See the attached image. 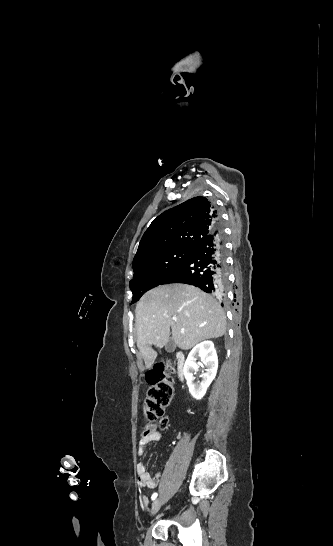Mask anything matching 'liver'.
<instances>
[{
	"label": "liver",
	"instance_id": "liver-1",
	"mask_svg": "<svg viewBox=\"0 0 333 546\" xmlns=\"http://www.w3.org/2000/svg\"><path fill=\"white\" fill-rule=\"evenodd\" d=\"M135 315L137 346L146 369L157 358L152 345L160 348L172 339L180 349L188 350L226 332V315L216 299L182 283L149 290L138 301Z\"/></svg>",
	"mask_w": 333,
	"mask_h": 546
}]
</instances>
